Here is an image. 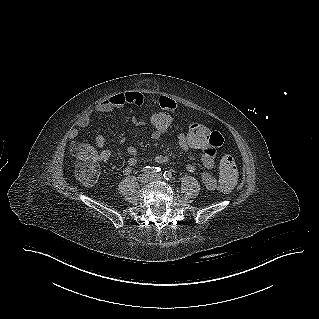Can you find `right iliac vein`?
<instances>
[{
  "label": "right iliac vein",
  "mask_w": 319,
  "mask_h": 319,
  "mask_svg": "<svg viewBox=\"0 0 319 319\" xmlns=\"http://www.w3.org/2000/svg\"><path fill=\"white\" fill-rule=\"evenodd\" d=\"M139 181L140 183L142 184H146L148 183L149 181H151V176L147 173H143L139 176Z\"/></svg>",
  "instance_id": "1"
}]
</instances>
